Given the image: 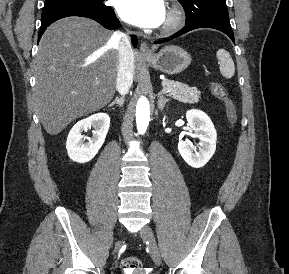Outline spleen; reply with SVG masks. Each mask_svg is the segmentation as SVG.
Wrapping results in <instances>:
<instances>
[{"instance_id":"3e777b00","label":"spleen","mask_w":289,"mask_h":274,"mask_svg":"<svg viewBox=\"0 0 289 274\" xmlns=\"http://www.w3.org/2000/svg\"><path fill=\"white\" fill-rule=\"evenodd\" d=\"M217 58L220 64L221 75L227 79L233 77L235 66L230 54L224 49H219L217 51Z\"/></svg>"}]
</instances>
